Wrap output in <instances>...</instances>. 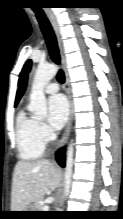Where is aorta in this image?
I'll return each instance as SVG.
<instances>
[{"instance_id":"762f6f07","label":"aorta","mask_w":123,"mask_h":219,"mask_svg":"<svg viewBox=\"0 0 123 219\" xmlns=\"http://www.w3.org/2000/svg\"><path fill=\"white\" fill-rule=\"evenodd\" d=\"M58 67L54 64L39 65L35 73L30 94L29 110L36 117H44L47 114L45 85L57 74ZM73 143L68 145L66 167H65V194L68 195L72 180L73 166Z\"/></svg>"}]
</instances>
